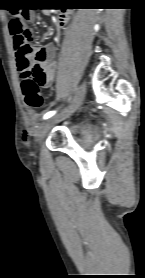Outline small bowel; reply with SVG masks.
<instances>
[{"mask_svg":"<svg viewBox=\"0 0 145 278\" xmlns=\"http://www.w3.org/2000/svg\"><path fill=\"white\" fill-rule=\"evenodd\" d=\"M48 9L44 10L45 13H48ZM35 14L32 12L31 18L34 19ZM68 17L65 15L59 16V24L61 27H65ZM11 35V34H10ZM12 42L13 37L11 35ZM14 52H15V61L17 70L24 75L28 72L35 64H41L45 71V81L42 84L44 88L49 87L55 80L56 77V60H55V45L52 42H47L41 46H34L32 50L33 54L30 56L25 54H17V47L13 42ZM29 135V132L26 136Z\"/></svg>","mask_w":145,"mask_h":278,"instance_id":"small-bowel-1","label":"small bowel"}]
</instances>
